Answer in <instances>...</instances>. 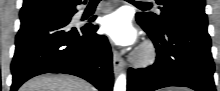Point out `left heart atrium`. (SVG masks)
<instances>
[{
	"label": "left heart atrium",
	"instance_id": "obj_1",
	"mask_svg": "<svg viewBox=\"0 0 220 91\" xmlns=\"http://www.w3.org/2000/svg\"><path fill=\"white\" fill-rule=\"evenodd\" d=\"M101 27L117 45L131 46L137 42V32L132 26L129 14L124 10H117L104 16Z\"/></svg>",
	"mask_w": 220,
	"mask_h": 91
}]
</instances>
